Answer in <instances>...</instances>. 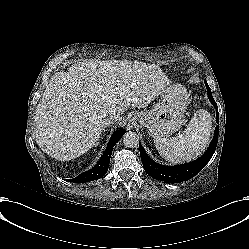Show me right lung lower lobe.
<instances>
[{
    "mask_svg": "<svg viewBox=\"0 0 249 249\" xmlns=\"http://www.w3.org/2000/svg\"><path fill=\"white\" fill-rule=\"evenodd\" d=\"M125 130L120 129L117 130L111 137L101 159L99 162L92 168L91 170H88L84 173H81L76 178L73 179L74 182L84 183L89 182L93 180H97L101 177H103L106 172L108 171V166L110 162L111 153L113 150V147L117 143V141L124 135Z\"/></svg>",
    "mask_w": 249,
    "mask_h": 249,
    "instance_id": "obj_1",
    "label": "right lung lower lobe"
}]
</instances>
